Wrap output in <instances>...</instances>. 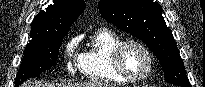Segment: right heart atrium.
<instances>
[{"instance_id": "obj_1", "label": "right heart atrium", "mask_w": 205, "mask_h": 87, "mask_svg": "<svg viewBox=\"0 0 205 87\" xmlns=\"http://www.w3.org/2000/svg\"><path fill=\"white\" fill-rule=\"evenodd\" d=\"M65 54L67 57V69L70 73L74 74L79 68L81 63V57L75 53V42L71 41L65 48Z\"/></svg>"}]
</instances>
